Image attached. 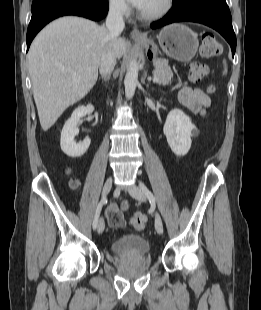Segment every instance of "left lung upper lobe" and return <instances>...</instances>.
<instances>
[{
  "mask_svg": "<svg viewBox=\"0 0 261 310\" xmlns=\"http://www.w3.org/2000/svg\"><path fill=\"white\" fill-rule=\"evenodd\" d=\"M179 1H181V0H173V2H179Z\"/></svg>",
  "mask_w": 261,
  "mask_h": 310,
  "instance_id": "5c2ea615",
  "label": "left lung upper lobe"
}]
</instances>
